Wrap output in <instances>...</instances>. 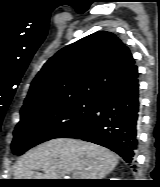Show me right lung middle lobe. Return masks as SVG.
<instances>
[{
  "instance_id": "1",
  "label": "right lung middle lobe",
  "mask_w": 160,
  "mask_h": 187,
  "mask_svg": "<svg viewBox=\"0 0 160 187\" xmlns=\"http://www.w3.org/2000/svg\"><path fill=\"white\" fill-rule=\"evenodd\" d=\"M96 104L97 98H79L21 112L13 133V153L22 155L35 145L64 137L93 114Z\"/></svg>"
}]
</instances>
